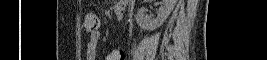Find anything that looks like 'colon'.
I'll list each match as a JSON object with an SVG mask.
<instances>
[{
	"mask_svg": "<svg viewBox=\"0 0 267 60\" xmlns=\"http://www.w3.org/2000/svg\"><path fill=\"white\" fill-rule=\"evenodd\" d=\"M85 29L88 32H95L99 27V18L94 12H88L84 16Z\"/></svg>",
	"mask_w": 267,
	"mask_h": 60,
	"instance_id": "1",
	"label": "colon"
}]
</instances>
